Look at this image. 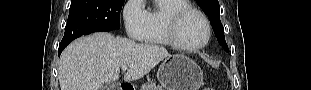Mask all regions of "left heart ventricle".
Masks as SVG:
<instances>
[{
  "label": "left heart ventricle",
  "instance_id": "left-heart-ventricle-1",
  "mask_svg": "<svg viewBox=\"0 0 311 90\" xmlns=\"http://www.w3.org/2000/svg\"><path fill=\"white\" fill-rule=\"evenodd\" d=\"M179 34L183 42L188 45L200 44L206 36L205 24L197 14H189L182 21Z\"/></svg>",
  "mask_w": 311,
  "mask_h": 90
}]
</instances>
